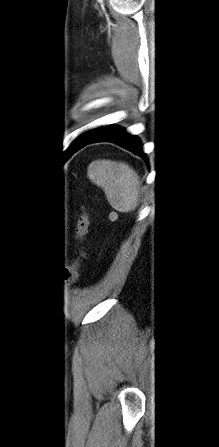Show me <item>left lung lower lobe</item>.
Listing matches in <instances>:
<instances>
[{
  "mask_svg": "<svg viewBox=\"0 0 219 447\" xmlns=\"http://www.w3.org/2000/svg\"><path fill=\"white\" fill-rule=\"evenodd\" d=\"M113 142L116 143L123 148L135 153L136 155L141 156L146 159V154H144L142 150V145L137 137L132 136L125 132L124 129L116 126H104L98 128L92 135H90L85 140L81 141L78 144H75L68 148L66 152V158H69L80 148L84 147L87 144L94 142Z\"/></svg>",
  "mask_w": 219,
  "mask_h": 447,
  "instance_id": "1",
  "label": "left lung lower lobe"
}]
</instances>
